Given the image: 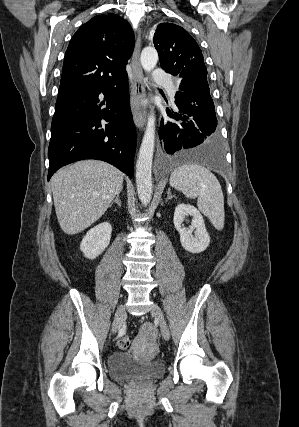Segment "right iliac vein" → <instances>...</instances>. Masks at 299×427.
<instances>
[{
	"label": "right iliac vein",
	"mask_w": 299,
	"mask_h": 427,
	"mask_svg": "<svg viewBox=\"0 0 299 427\" xmlns=\"http://www.w3.org/2000/svg\"><path fill=\"white\" fill-rule=\"evenodd\" d=\"M124 317H125V306L121 304L116 311L114 322H113L112 332L114 334L120 330Z\"/></svg>",
	"instance_id": "obj_1"
}]
</instances>
